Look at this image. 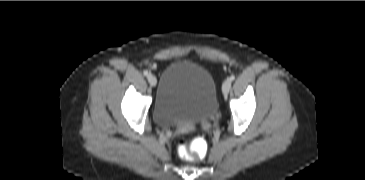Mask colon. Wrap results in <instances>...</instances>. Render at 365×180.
Segmentation results:
<instances>
[{
	"label": "colon",
	"instance_id": "colon-1",
	"mask_svg": "<svg viewBox=\"0 0 365 180\" xmlns=\"http://www.w3.org/2000/svg\"><path fill=\"white\" fill-rule=\"evenodd\" d=\"M177 149L182 158L187 161H203L207 155L208 145L199 136L192 140L181 137L177 142Z\"/></svg>",
	"mask_w": 365,
	"mask_h": 180
}]
</instances>
